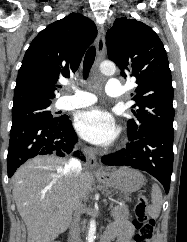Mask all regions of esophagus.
I'll return each mask as SVG.
<instances>
[{
  "label": "esophagus",
  "mask_w": 187,
  "mask_h": 242,
  "mask_svg": "<svg viewBox=\"0 0 187 242\" xmlns=\"http://www.w3.org/2000/svg\"><path fill=\"white\" fill-rule=\"evenodd\" d=\"M96 49H97V57L98 61H100L104 55L105 51V30L103 26L98 27V37L96 42ZM88 155V164L92 171L94 172H102L103 169L99 165L97 158L94 152L90 149L87 150Z\"/></svg>",
  "instance_id": "34e87169"
}]
</instances>
